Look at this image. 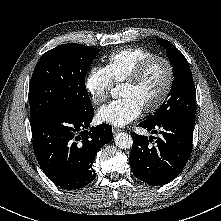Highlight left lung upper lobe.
Here are the masks:
<instances>
[{
    "label": "left lung upper lobe",
    "mask_w": 221,
    "mask_h": 221,
    "mask_svg": "<svg viewBox=\"0 0 221 221\" xmlns=\"http://www.w3.org/2000/svg\"><path fill=\"white\" fill-rule=\"evenodd\" d=\"M156 41L166 49L173 67L174 84L167 101L146 121L164 122L175 117L195 119V85L189 64L184 55L170 42L161 38H157Z\"/></svg>",
    "instance_id": "left-lung-upper-lobe-1"
}]
</instances>
